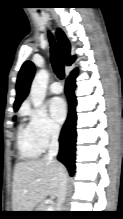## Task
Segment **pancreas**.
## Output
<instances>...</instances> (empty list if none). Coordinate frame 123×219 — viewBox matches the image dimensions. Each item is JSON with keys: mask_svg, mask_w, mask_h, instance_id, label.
Here are the masks:
<instances>
[{"mask_svg": "<svg viewBox=\"0 0 123 219\" xmlns=\"http://www.w3.org/2000/svg\"><path fill=\"white\" fill-rule=\"evenodd\" d=\"M46 208L47 206L43 202H41L37 205L36 211H46Z\"/></svg>", "mask_w": 123, "mask_h": 219, "instance_id": "obj_1", "label": "pancreas"}]
</instances>
